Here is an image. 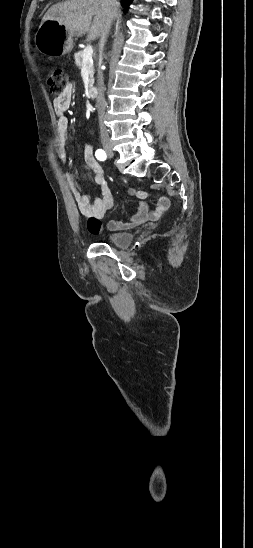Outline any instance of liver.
<instances>
[{"mask_svg":"<svg viewBox=\"0 0 253 548\" xmlns=\"http://www.w3.org/2000/svg\"><path fill=\"white\" fill-rule=\"evenodd\" d=\"M47 20L58 21L72 38L88 32V38L95 40L100 36L104 25L102 0H68L56 3L48 9L42 23Z\"/></svg>","mask_w":253,"mask_h":548,"instance_id":"liver-1","label":"liver"}]
</instances>
